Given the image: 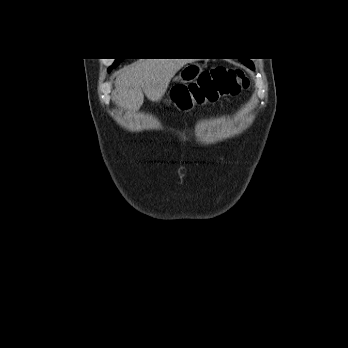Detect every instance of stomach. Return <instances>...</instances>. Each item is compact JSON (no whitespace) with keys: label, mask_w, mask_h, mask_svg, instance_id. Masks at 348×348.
<instances>
[{"label":"stomach","mask_w":348,"mask_h":348,"mask_svg":"<svg viewBox=\"0 0 348 348\" xmlns=\"http://www.w3.org/2000/svg\"><path fill=\"white\" fill-rule=\"evenodd\" d=\"M202 69L200 66L196 64H191L185 66L179 73L177 80L180 82L179 85L186 86L194 82L197 76L201 73ZM208 99L204 96L202 97H193V95H189L187 100L181 105V110L190 111L192 110L196 104H206Z\"/></svg>","instance_id":"0dacf381"}]
</instances>
